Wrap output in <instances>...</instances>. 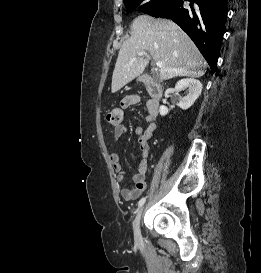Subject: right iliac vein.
<instances>
[{
    "label": "right iliac vein",
    "mask_w": 261,
    "mask_h": 273,
    "mask_svg": "<svg viewBox=\"0 0 261 273\" xmlns=\"http://www.w3.org/2000/svg\"><path fill=\"white\" fill-rule=\"evenodd\" d=\"M142 213H143V208H140L133 221V232L136 239H139L141 236L140 222H141Z\"/></svg>",
    "instance_id": "63e3f726"
}]
</instances>
